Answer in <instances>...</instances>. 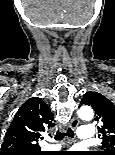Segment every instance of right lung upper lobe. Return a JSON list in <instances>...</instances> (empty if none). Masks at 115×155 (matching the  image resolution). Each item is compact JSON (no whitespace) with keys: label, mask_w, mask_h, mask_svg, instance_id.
I'll return each mask as SVG.
<instances>
[{"label":"right lung upper lobe","mask_w":115,"mask_h":155,"mask_svg":"<svg viewBox=\"0 0 115 155\" xmlns=\"http://www.w3.org/2000/svg\"><path fill=\"white\" fill-rule=\"evenodd\" d=\"M53 116L41 98L28 99L17 111L8 128L0 155H32L41 153V133L53 127Z\"/></svg>","instance_id":"obj_1"}]
</instances>
